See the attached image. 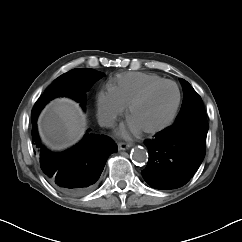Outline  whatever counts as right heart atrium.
<instances>
[{
  "mask_svg": "<svg viewBox=\"0 0 242 242\" xmlns=\"http://www.w3.org/2000/svg\"><path fill=\"white\" fill-rule=\"evenodd\" d=\"M96 104L98 119L107 127L112 126L125 109L110 89L98 93Z\"/></svg>",
  "mask_w": 242,
  "mask_h": 242,
  "instance_id": "right-heart-atrium-1",
  "label": "right heart atrium"
}]
</instances>
